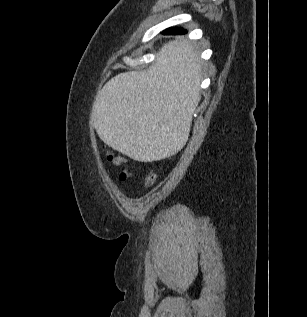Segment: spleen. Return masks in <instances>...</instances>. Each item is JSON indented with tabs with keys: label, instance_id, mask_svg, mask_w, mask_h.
Instances as JSON below:
<instances>
[{
	"label": "spleen",
	"instance_id": "obj_1",
	"mask_svg": "<svg viewBox=\"0 0 307 317\" xmlns=\"http://www.w3.org/2000/svg\"><path fill=\"white\" fill-rule=\"evenodd\" d=\"M157 61L111 79L95 107L98 136L133 160L179 155L200 100L201 69L188 45L165 46Z\"/></svg>",
	"mask_w": 307,
	"mask_h": 317
}]
</instances>
